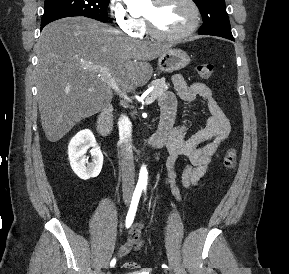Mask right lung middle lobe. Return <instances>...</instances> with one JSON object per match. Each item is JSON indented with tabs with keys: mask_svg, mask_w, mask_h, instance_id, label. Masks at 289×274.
I'll return each mask as SVG.
<instances>
[{
	"mask_svg": "<svg viewBox=\"0 0 289 274\" xmlns=\"http://www.w3.org/2000/svg\"><path fill=\"white\" fill-rule=\"evenodd\" d=\"M108 4L109 0H45L41 24L72 16H85L107 22Z\"/></svg>",
	"mask_w": 289,
	"mask_h": 274,
	"instance_id": "1",
	"label": "right lung middle lobe"
}]
</instances>
